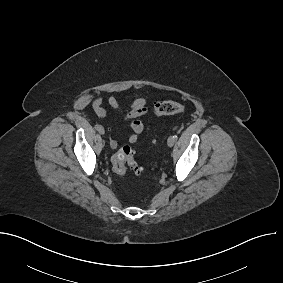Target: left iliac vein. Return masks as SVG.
I'll use <instances>...</instances> for the list:
<instances>
[{
	"instance_id": "left-iliac-vein-1",
	"label": "left iliac vein",
	"mask_w": 283,
	"mask_h": 283,
	"mask_svg": "<svg viewBox=\"0 0 283 283\" xmlns=\"http://www.w3.org/2000/svg\"><path fill=\"white\" fill-rule=\"evenodd\" d=\"M175 142H176V139H175L174 136H170L167 140V144H168L169 147H172Z\"/></svg>"
}]
</instances>
